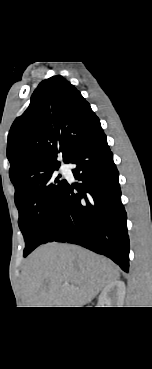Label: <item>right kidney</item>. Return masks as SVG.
Listing matches in <instances>:
<instances>
[{"instance_id": "obj_1", "label": "right kidney", "mask_w": 152, "mask_h": 369, "mask_svg": "<svg viewBox=\"0 0 152 369\" xmlns=\"http://www.w3.org/2000/svg\"><path fill=\"white\" fill-rule=\"evenodd\" d=\"M125 283L121 280H116L108 284L99 296L98 303L104 304L106 307H121L125 297Z\"/></svg>"}]
</instances>
